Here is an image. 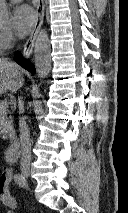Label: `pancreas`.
<instances>
[{
  "label": "pancreas",
  "mask_w": 128,
  "mask_h": 213,
  "mask_svg": "<svg viewBox=\"0 0 128 213\" xmlns=\"http://www.w3.org/2000/svg\"><path fill=\"white\" fill-rule=\"evenodd\" d=\"M14 133L13 128V118L9 115L7 109L0 110V136L3 139H7L8 136H11Z\"/></svg>",
  "instance_id": "obj_1"
}]
</instances>
